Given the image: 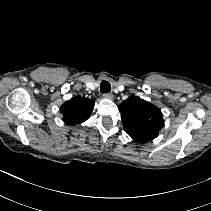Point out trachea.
<instances>
[{
    "mask_svg": "<svg viewBox=\"0 0 211 211\" xmlns=\"http://www.w3.org/2000/svg\"><path fill=\"white\" fill-rule=\"evenodd\" d=\"M100 91L102 93H109L111 91V85L108 81H102L100 84Z\"/></svg>",
    "mask_w": 211,
    "mask_h": 211,
    "instance_id": "1",
    "label": "trachea"
}]
</instances>
